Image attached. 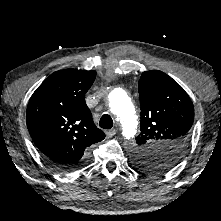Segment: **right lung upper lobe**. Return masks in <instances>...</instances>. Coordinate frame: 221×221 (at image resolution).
I'll return each mask as SVG.
<instances>
[{"mask_svg": "<svg viewBox=\"0 0 221 221\" xmlns=\"http://www.w3.org/2000/svg\"><path fill=\"white\" fill-rule=\"evenodd\" d=\"M95 71L59 70L33 93L27 127L34 143L52 163H76L89 156L90 146L103 140L85 102Z\"/></svg>", "mask_w": 221, "mask_h": 221, "instance_id": "cb5924a9", "label": "right lung upper lobe"}]
</instances>
